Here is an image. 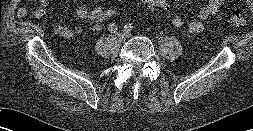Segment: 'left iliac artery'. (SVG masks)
Masks as SVG:
<instances>
[{"mask_svg": "<svg viewBox=\"0 0 253 131\" xmlns=\"http://www.w3.org/2000/svg\"><path fill=\"white\" fill-rule=\"evenodd\" d=\"M125 32H131L133 30V25L131 23H128L124 26Z\"/></svg>", "mask_w": 253, "mask_h": 131, "instance_id": "1", "label": "left iliac artery"}]
</instances>
